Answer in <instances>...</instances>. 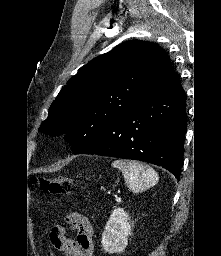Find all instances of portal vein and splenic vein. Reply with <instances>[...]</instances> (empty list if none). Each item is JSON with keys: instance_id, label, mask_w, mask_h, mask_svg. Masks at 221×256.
<instances>
[{"instance_id": "1", "label": "portal vein and splenic vein", "mask_w": 221, "mask_h": 256, "mask_svg": "<svg viewBox=\"0 0 221 256\" xmlns=\"http://www.w3.org/2000/svg\"><path fill=\"white\" fill-rule=\"evenodd\" d=\"M115 200H116L117 202H121V198L118 197V196L115 197Z\"/></svg>"}]
</instances>
